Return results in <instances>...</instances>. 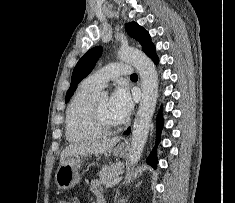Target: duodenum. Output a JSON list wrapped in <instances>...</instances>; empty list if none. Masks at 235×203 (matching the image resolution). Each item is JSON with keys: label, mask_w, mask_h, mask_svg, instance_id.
I'll use <instances>...</instances> for the list:
<instances>
[{"label": "duodenum", "mask_w": 235, "mask_h": 203, "mask_svg": "<svg viewBox=\"0 0 235 203\" xmlns=\"http://www.w3.org/2000/svg\"><path fill=\"white\" fill-rule=\"evenodd\" d=\"M99 203H106L104 199L100 200Z\"/></svg>", "instance_id": "410a0bca"}]
</instances>
